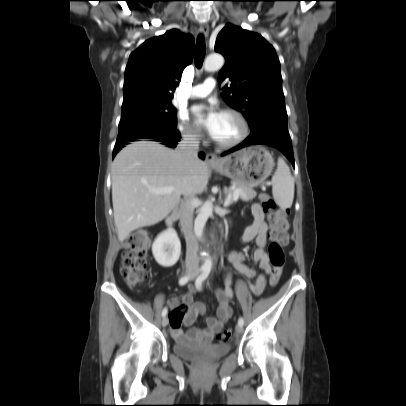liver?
<instances>
[{"label": "liver", "mask_w": 406, "mask_h": 406, "mask_svg": "<svg viewBox=\"0 0 406 406\" xmlns=\"http://www.w3.org/2000/svg\"><path fill=\"white\" fill-rule=\"evenodd\" d=\"M111 173L114 222L118 239L123 242L132 231L166 218L181 194H201L207 188L209 167L199 159L190 164L177 150L142 140L117 154ZM164 187L175 191L151 192Z\"/></svg>", "instance_id": "obj_1"}]
</instances>
